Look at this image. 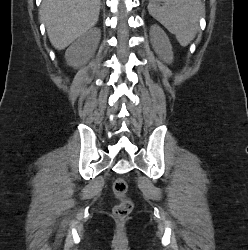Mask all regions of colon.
<instances>
[{"label":"colon","mask_w":248,"mask_h":250,"mask_svg":"<svg viewBox=\"0 0 248 250\" xmlns=\"http://www.w3.org/2000/svg\"><path fill=\"white\" fill-rule=\"evenodd\" d=\"M118 204L113 209V215L118 220L125 219L132 211V201L128 197V185L125 179L116 178L112 185Z\"/></svg>","instance_id":"colon-1"}]
</instances>
